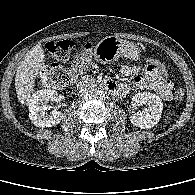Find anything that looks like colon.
I'll return each instance as SVG.
<instances>
[{
  "label": "colon",
  "mask_w": 195,
  "mask_h": 195,
  "mask_svg": "<svg viewBox=\"0 0 195 195\" xmlns=\"http://www.w3.org/2000/svg\"><path fill=\"white\" fill-rule=\"evenodd\" d=\"M73 46L74 44L71 40H58L48 42L45 48L56 60L65 61L69 58ZM91 58L92 46L88 44L82 49L72 67L65 68L57 63L48 64L41 71V79L44 84L53 88L69 86L74 82L79 72L90 66ZM145 70L159 79L167 78V71L164 65L157 59H148L145 65ZM184 95L185 93L183 89H177L174 92V98L176 101H182Z\"/></svg>",
  "instance_id": "obj_1"
}]
</instances>
